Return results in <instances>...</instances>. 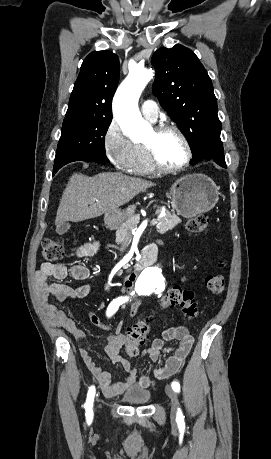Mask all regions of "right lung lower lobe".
Segmentation results:
<instances>
[{
    "label": "right lung lower lobe",
    "mask_w": 271,
    "mask_h": 459,
    "mask_svg": "<svg viewBox=\"0 0 271 459\" xmlns=\"http://www.w3.org/2000/svg\"><path fill=\"white\" fill-rule=\"evenodd\" d=\"M73 161H88V162H96V163H108V162H104L102 160H99L97 158H94V157H89V156H84V155H76V156H71V157H68L66 159H63L61 161H58L55 163L54 165V169H53V175L62 167L64 166L65 164H68L70 162H73Z\"/></svg>",
    "instance_id": "right-lung-lower-lobe-1"
}]
</instances>
